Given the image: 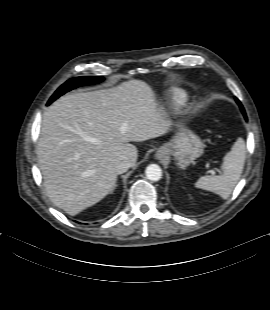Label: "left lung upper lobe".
Masks as SVG:
<instances>
[{
  "label": "left lung upper lobe",
  "instance_id": "obj_1",
  "mask_svg": "<svg viewBox=\"0 0 270 310\" xmlns=\"http://www.w3.org/2000/svg\"><path fill=\"white\" fill-rule=\"evenodd\" d=\"M236 101H237V103L239 104L240 109H241V111H242L243 115L246 117V115H245V111H244V108H243V106L241 105L240 101H239L238 99H236Z\"/></svg>",
  "mask_w": 270,
  "mask_h": 310
}]
</instances>
